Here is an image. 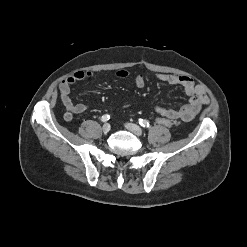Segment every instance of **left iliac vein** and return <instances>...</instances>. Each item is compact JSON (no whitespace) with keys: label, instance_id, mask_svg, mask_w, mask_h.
Returning a JSON list of instances; mask_svg holds the SVG:
<instances>
[{"label":"left iliac vein","instance_id":"obj_1","mask_svg":"<svg viewBox=\"0 0 247 247\" xmlns=\"http://www.w3.org/2000/svg\"><path fill=\"white\" fill-rule=\"evenodd\" d=\"M125 127L132 133L137 136H141L143 134V130L140 126L133 124V123H126Z\"/></svg>","mask_w":247,"mask_h":247}]
</instances>
